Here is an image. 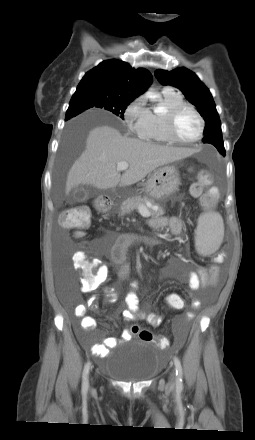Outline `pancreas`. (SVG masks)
<instances>
[{"label":"pancreas","mask_w":255,"mask_h":440,"mask_svg":"<svg viewBox=\"0 0 255 440\" xmlns=\"http://www.w3.org/2000/svg\"><path fill=\"white\" fill-rule=\"evenodd\" d=\"M148 202L154 203V201L152 199L148 198L147 196H144V197L135 196V197L128 198L127 200H125L122 203V205L120 207V216H124L125 214H129L134 210H138V207L140 205L145 206L149 210L150 216H152L154 218L162 217L165 214L164 209L159 207L158 205H157L156 210L148 207L147 206Z\"/></svg>","instance_id":"cf45deb5"}]
</instances>
